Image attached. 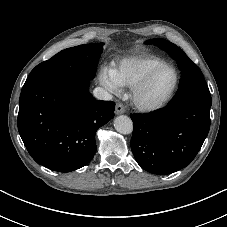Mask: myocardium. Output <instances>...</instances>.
<instances>
[{"label":"myocardium","instance_id":"myocardium-1","mask_svg":"<svg viewBox=\"0 0 227 227\" xmlns=\"http://www.w3.org/2000/svg\"><path fill=\"white\" fill-rule=\"evenodd\" d=\"M171 69L175 73V83L170 92L166 95L164 99L154 104H147L141 100V96L145 89L148 87L152 79L162 70ZM180 84V74L176 67L170 64L161 65L153 70H151L145 77H143L133 88L131 92V101L136 109L141 112H156L158 110L166 107L170 101L173 99L176 91L178 90Z\"/></svg>","mask_w":227,"mask_h":227}]
</instances>
